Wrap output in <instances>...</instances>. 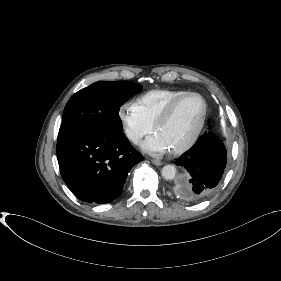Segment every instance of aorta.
Segmentation results:
<instances>
[{"label":"aorta","instance_id":"1","mask_svg":"<svg viewBox=\"0 0 281 281\" xmlns=\"http://www.w3.org/2000/svg\"><path fill=\"white\" fill-rule=\"evenodd\" d=\"M161 174L166 180H173L176 176V168L173 165H165L161 170Z\"/></svg>","mask_w":281,"mask_h":281}]
</instances>
